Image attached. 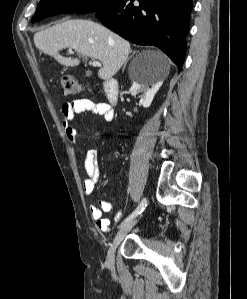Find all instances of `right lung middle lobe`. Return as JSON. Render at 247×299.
<instances>
[{"mask_svg": "<svg viewBox=\"0 0 247 299\" xmlns=\"http://www.w3.org/2000/svg\"><path fill=\"white\" fill-rule=\"evenodd\" d=\"M118 1L120 0H41L32 18V23L57 14L96 12Z\"/></svg>", "mask_w": 247, "mask_h": 299, "instance_id": "dd1d6c3e", "label": "right lung middle lobe"}]
</instances>
